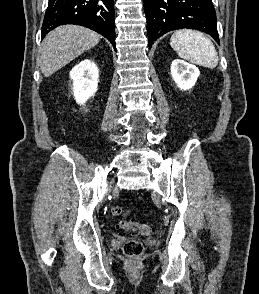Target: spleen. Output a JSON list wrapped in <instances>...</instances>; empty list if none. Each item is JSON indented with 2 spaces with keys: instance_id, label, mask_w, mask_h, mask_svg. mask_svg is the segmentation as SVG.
I'll return each mask as SVG.
<instances>
[{
  "instance_id": "1",
  "label": "spleen",
  "mask_w": 259,
  "mask_h": 294,
  "mask_svg": "<svg viewBox=\"0 0 259 294\" xmlns=\"http://www.w3.org/2000/svg\"><path fill=\"white\" fill-rule=\"evenodd\" d=\"M171 47L179 57L213 69L218 64L217 51L211 40L198 31L178 30L170 39Z\"/></svg>"
}]
</instances>
